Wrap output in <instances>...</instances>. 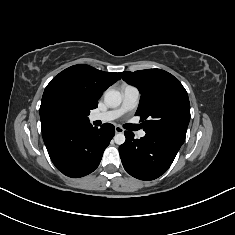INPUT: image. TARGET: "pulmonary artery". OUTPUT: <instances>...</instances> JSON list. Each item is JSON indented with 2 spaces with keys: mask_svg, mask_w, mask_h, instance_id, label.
<instances>
[{
  "mask_svg": "<svg viewBox=\"0 0 235 235\" xmlns=\"http://www.w3.org/2000/svg\"><path fill=\"white\" fill-rule=\"evenodd\" d=\"M123 98L121 105L113 110L102 112V113H95L91 115V121L100 120L103 122H109L119 118L124 113L132 110L138 102L139 99V91L136 87L127 85L123 88L122 91ZM146 135L145 131L141 130L138 132V137L142 138Z\"/></svg>",
  "mask_w": 235,
  "mask_h": 235,
  "instance_id": "1",
  "label": "pulmonary artery"
}]
</instances>
